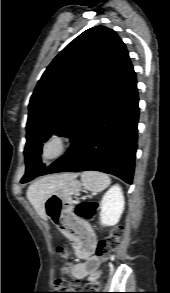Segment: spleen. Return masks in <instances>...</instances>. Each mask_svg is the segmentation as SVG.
<instances>
[{
  "label": "spleen",
  "mask_w": 170,
  "mask_h": 293,
  "mask_svg": "<svg viewBox=\"0 0 170 293\" xmlns=\"http://www.w3.org/2000/svg\"><path fill=\"white\" fill-rule=\"evenodd\" d=\"M83 186L93 193L105 190L111 183L108 175L97 171H85L81 174Z\"/></svg>",
  "instance_id": "obj_1"
}]
</instances>
